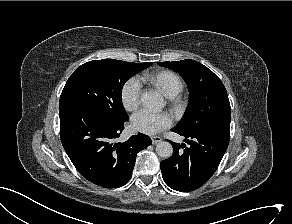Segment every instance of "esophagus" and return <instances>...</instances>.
Listing matches in <instances>:
<instances>
[{"mask_svg":"<svg viewBox=\"0 0 292 224\" xmlns=\"http://www.w3.org/2000/svg\"><path fill=\"white\" fill-rule=\"evenodd\" d=\"M151 140H152V143H153V144H157V143H159V142L162 141V138L159 137V136H152V137H151Z\"/></svg>","mask_w":292,"mask_h":224,"instance_id":"esophagus-1","label":"esophagus"}]
</instances>
